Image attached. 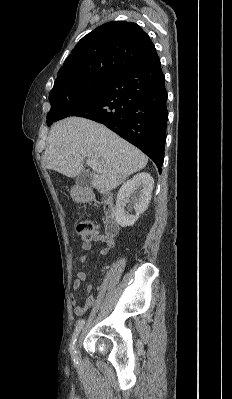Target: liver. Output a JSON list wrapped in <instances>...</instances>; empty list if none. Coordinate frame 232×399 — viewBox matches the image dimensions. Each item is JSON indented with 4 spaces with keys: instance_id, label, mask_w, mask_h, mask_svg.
<instances>
[{
    "instance_id": "1",
    "label": "liver",
    "mask_w": 232,
    "mask_h": 399,
    "mask_svg": "<svg viewBox=\"0 0 232 399\" xmlns=\"http://www.w3.org/2000/svg\"><path fill=\"white\" fill-rule=\"evenodd\" d=\"M86 158L101 170L92 180L100 192H111L128 176L144 170L148 162L138 148L102 124L85 118H65L53 124L43 158L45 168L75 178L82 172Z\"/></svg>"
}]
</instances>
